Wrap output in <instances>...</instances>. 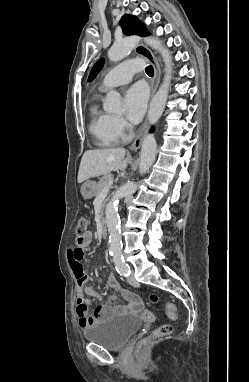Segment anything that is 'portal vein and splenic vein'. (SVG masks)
I'll list each match as a JSON object with an SVG mask.
<instances>
[{"label":"portal vein and splenic vein","mask_w":249,"mask_h":382,"mask_svg":"<svg viewBox=\"0 0 249 382\" xmlns=\"http://www.w3.org/2000/svg\"><path fill=\"white\" fill-rule=\"evenodd\" d=\"M113 185V181H109L107 186L103 189L104 192H108L110 187Z\"/></svg>","instance_id":"1"}]
</instances>
